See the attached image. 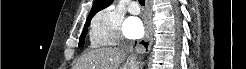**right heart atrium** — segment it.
I'll use <instances>...</instances> for the list:
<instances>
[{"label": "right heart atrium", "mask_w": 246, "mask_h": 69, "mask_svg": "<svg viewBox=\"0 0 246 69\" xmlns=\"http://www.w3.org/2000/svg\"><path fill=\"white\" fill-rule=\"evenodd\" d=\"M121 24L122 16L111 7L99 11L89 28L91 46L98 48L118 44L123 39Z\"/></svg>", "instance_id": "obj_1"}]
</instances>
